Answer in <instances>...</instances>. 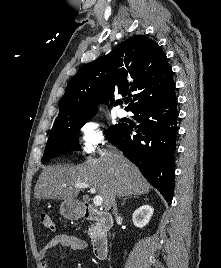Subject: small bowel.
<instances>
[{
	"label": "small bowel",
	"mask_w": 221,
	"mask_h": 268,
	"mask_svg": "<svg viewBox=\"0 0 221 268\" xmlns=\"http://www.w3.org/2000/svg\"><path fill=\"white\" fill-rule=\"evenodd\" d=\"M56 246H64L73 250L87 249L88 245L85 240L71 234L54 235L38 252L41 268H51L50 261L46 258L48 252Z\"/></svg>",
	"instance_id": "small-bowel-1"
}]
</instances>
